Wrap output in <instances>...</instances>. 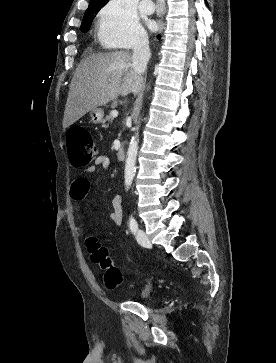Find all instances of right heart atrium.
Instances as JSON below:
<instances>
[{
	"label": "right heart atrium",
	"instance_id": "obj_1",
	"mask_svg": "<svg viewBox=\"0 0 276 363\" xmlns=\"http://www.w3.org/2000/svg\"><path fill=\"white\" fill-rule=\"evenodd\" d=\"M98 37L105 45L130 48L145 42L146 33L126 0H109L98 14Z\"/></svg>",
	"mask_w": 276,
	"mask_h": 363
}]
</instances>
